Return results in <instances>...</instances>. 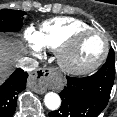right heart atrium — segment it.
Here are the masks:
<instances>
[{"instance_id": "d8ad5b80", "label": "right heart atrium", "mask_w": 117, "mask_h": 117, "mask_svg": "<svg viewBox=\"0 0 117 117\" xmlns=\"http://www.w3.org/2000/svg\"><path fill=\"white\" fill-rule=\"evenodd\" d=\"M25 38L28 41L33 53L39 55L41 46L39 45L36 38V31L33 28H30L26 31Z\"/></svg>"}]
</instances>
